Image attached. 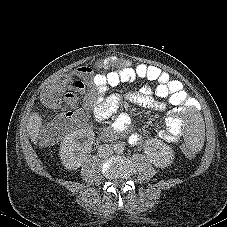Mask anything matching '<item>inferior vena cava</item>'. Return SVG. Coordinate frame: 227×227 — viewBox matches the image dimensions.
I'll list each match as a JSON object with an SVG mask.
<instances>
[{
	"mask_svg": "<svg viewBox=\"0 0 227 227\" xmlns=\"http://www.w3.org/2000/svg\"><path fill=\"white\" fill-rule=\"evenodd\" d=\"M112 153L113 148L108 144L102 145L98 148V156L100 158H108L110 155H112Z\"/></svg>",
	"mask_w": 227,
	"mask_h": 227,
	"instance_id": "602c4592",
	"label": "inferior vena cava"
}]
</instances>
